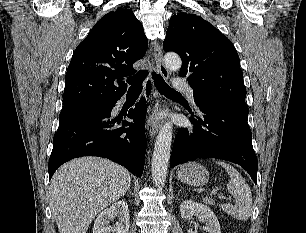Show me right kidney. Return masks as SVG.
Masks as SVG:
<instances>
[{
	"label": "right kidney",
	"mask_w": 306,
	"mask_h": 233,
	"mask_svg": "<svg viewBox=\"0 0 306 233\" xmlns=\"http://www.w3.org/2000/svg\"><path fill=\"white\" fill-rule=\"evenodd\" d=\"M115 217L118 222L115 227L109 225ZM130 227V217L128 205L124 200L112 204L103 210L96 218L93 233H128Z\"/></svg>",
	"instance_id": "right-kidney-1"
}]
</instances>
